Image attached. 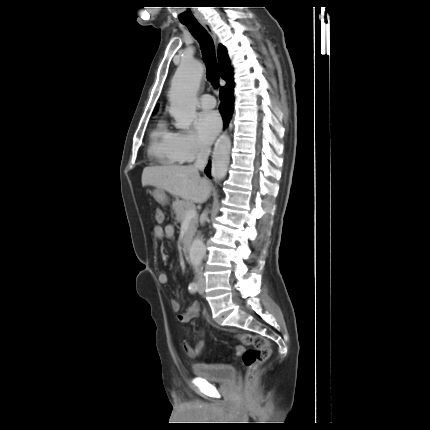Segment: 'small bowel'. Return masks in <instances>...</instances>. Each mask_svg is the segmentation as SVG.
Instances as JSON below:
<instances>
[{
    "instance_id": "small-bowel-1",
    "label": "small bowel",
    "mask_w": 430,
    "mask_h": 430,
    "mask_svg": "<svg viewBox=\"0 0 430 430\" xmlns=\"http://www.w3.org/2000/svg\"><path fill=\"white\" fill-rule=\"evenodd\" d=\"M153 236L156 239H163L168 238L172 239L174 237V227L172 225H167L165 228H162L161 226H155L153 229ZM158 281L161 284H167L168 283V275L166 272L161 271L158 275ZM180 302L178 300H172L171 301V307L173 311L177 312L180 309ZM200 306L198 303H193L190 305L185 312L179 314L177 316V320L179 323L186 324L196 318L199 315ZM204 340L202 338V334H200L195 342L194 345L189 343L188 341H184L183 343V349L188 357L190 358H197L202 350L204 349Z\"/></svg>"
}]
</instances>
